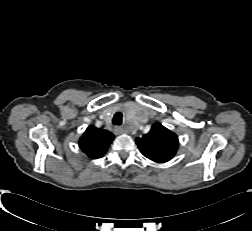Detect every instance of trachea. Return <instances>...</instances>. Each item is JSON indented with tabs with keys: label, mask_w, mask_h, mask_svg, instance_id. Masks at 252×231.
Instances as JSON below:
<instances>
[{
	"label": "trachea",
	"mask_w": 252,
	"mask_h": 231,
	"mask_svg": "<svg viewBox=\"0 0 252 231\" xmlns=\"http://www.w3.org/2000/svg\"><path fill=\"white\" fill-rule=\"evenodd\" d=\"M112 121L114 125H120L122 123V113L121 112L115 113Z\"/></svg>",
	"instance_id": "1"
}]
</instances>
